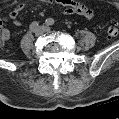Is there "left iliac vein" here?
<instances>
[{"label":"left iliac vein","mask_w":119,"mask_h":119,"mask_svg":"<svg viewBox=\"0 0 119 119\" xmlns=\"http://www.w3.org/2000/svg\"><path fill=\"white\" fill-rule=\"evenodd\" d=\"M44 29H45V32H50V28L44 27Z\"/></svg>","instance_id":"left-iliac-vein-1"}]
</instances>
